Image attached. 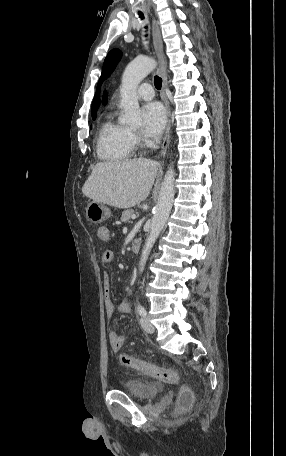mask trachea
<instances>
[{
  "instance_id": "1",
  "label": "trachea",
  "mask_w": 286,
  "mask_h": 456,
  "mask_svg": "<svg viewBox=\"0 0 286 456\" xmlns=\"http://www.w3.org/2000/svg\"><path fill=\"white\" fill-rule=\"evenodd\" d=\"M139 17L141 19H143L144 16H143L142 13H139ZM154 85H155L156 89L160 90L161 86H162V79L160 77H158V76H155L154 77Z\"/></svg>"
}]
</instances>
